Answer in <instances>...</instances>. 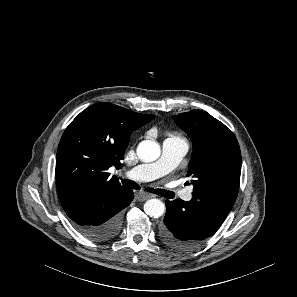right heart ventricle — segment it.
<instances>
[{
	"label": "right heart ventricle",
	"instance_id": "1",
	"mask_svg": "<svg viewBox=\"0 0 297 297\" xmlns=\"http://www.w3.org/2000/svg\"><path fill=\"white\" fill-rule=\"evenodd\" d=\"M171 137H176V138H179V136H177V135H172ZM171 137H170V138H171Z\"/></svg>",
	"mask_w": 297,
	"mask_h": 297
}]
</instances>
